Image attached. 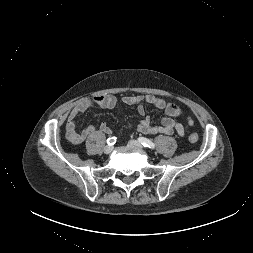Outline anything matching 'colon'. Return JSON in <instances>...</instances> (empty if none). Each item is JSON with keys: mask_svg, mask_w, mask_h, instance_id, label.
Here are the masks:
<instances>
[{"mask_svg": "<svg viewBox=\"0 0 253 253\" xmlns=\"http://www.w3.org/2000/svg\"><path fill=\"white\" fill-rule=\"evenodd\" d=\"M190 142H197L199 140V135L197 133H190L188 136Z\"/></svg>", "mask_w": 253, "mask_h": 253, "instance_id": "colon-1", "label": "colon"}]
</instances>
